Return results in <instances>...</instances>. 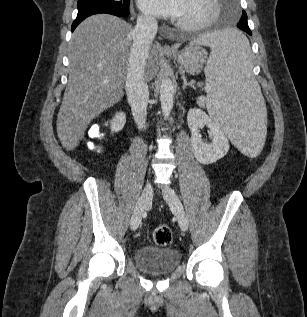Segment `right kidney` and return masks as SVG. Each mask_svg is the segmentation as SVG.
<instances>
[{"mask_svg": "<svg viewBox=\"0 0 307 317\" xmlns=\"http://www.w3.org/2000/svg\"><path fill=\"white\" fill-rule=\"evenodd\" d=\"M126 123V114L124 112L115 113L111 122V129L114 132H119L123 129Z\"/></svg>", "mask_w": 307, "mask_h": 317, "instance_id": "obj_1", "label": "right kidney"}]
</instances>
